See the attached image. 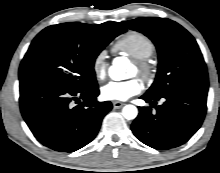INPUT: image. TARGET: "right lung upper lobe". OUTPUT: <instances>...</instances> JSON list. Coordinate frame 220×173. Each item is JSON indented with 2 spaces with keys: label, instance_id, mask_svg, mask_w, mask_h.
Returning a JSON list of instances; mask_svg holds the SVG:
<instances>
[{
  "label": "right lung upper lobe",
  "instance_id": "1",
  "mask_svg": "<svg viewBox=\"0 0 220 173\" xmlns=\"http://www.w3.org/2000/svg\"><path fill=\"white\" fill-rule=\"evenodd\" d=\"M64 24H70V23H64ZM62 25V24H59ZM95 33L104 34V33H112V34H121L126 32V28H124L120 23L116 22H107L99 25H88Z\"/></svg>",
  "mask_w": 220,
  "mask_h": 173
}]
</instances>
